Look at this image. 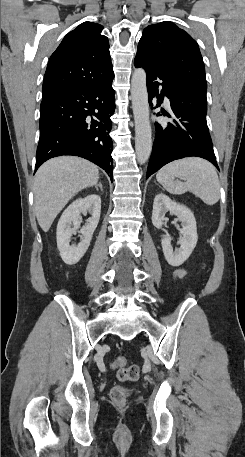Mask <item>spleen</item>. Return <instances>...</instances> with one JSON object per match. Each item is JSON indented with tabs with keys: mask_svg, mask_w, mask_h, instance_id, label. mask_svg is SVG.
I'll use <instances>...</instances> for the list:
<instances>
[{
	"mask_svg": "<svg viewBox=\"0 0 245 457\" xmlns=\"http://www.w3.org/2000/svg\"><path fill=\"white\" fill-rule=\"evenodd\" d=\"M174 176L184 178L174 180ZM156 178L171 194H184L187 190L199 196L206 204H215L220 198V182L215 166L199 156H188L169 162L160 168Z\"/></svg>",
	"mask_w": 245,
	"mask_h": 457,
	"instance_id": "spleen-1",
	"label": "spleen"
}]
</instances>
